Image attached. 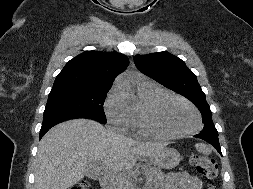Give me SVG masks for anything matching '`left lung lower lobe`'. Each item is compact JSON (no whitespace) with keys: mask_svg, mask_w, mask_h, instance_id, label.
<instances>
[{"mask_svg":"<svg viewBox=\"0 0 253 189\" xmlns=\"http://www.w3.org/2000/svg\"><path fill=\"white\" fill-rule=\"evenodd\" d=\"M195 137L209 142L222 155L220 145H219V140H218V134L201 132L200 134L195 135Z\"/></svg>","mask_w":253,"mask_h":189,"instance_id":"obj_1","label":"left lung lower lobe"}]
</instances>
